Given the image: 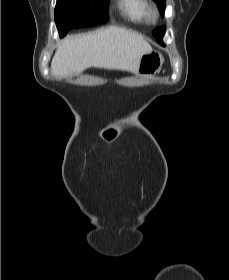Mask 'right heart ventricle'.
Masks as SVG:
<instances>
[{"label": "right heart ventricle", "mask_w": 229, "mask_h": 280, "mask_svg": "<svg viewBox=\"0 0 229 280\" xmlns=\"http://www.w3.org/2000/svg\"><path fill=\"white\" fill-rule=\"evenodd\" d=\"M118 7L129 22L141 24L149 20L151 10L147 0H119Z\"/></svg>", "instance_id": "obj_1"}]
</instances>
